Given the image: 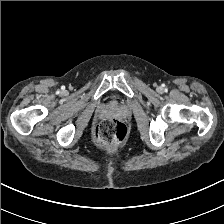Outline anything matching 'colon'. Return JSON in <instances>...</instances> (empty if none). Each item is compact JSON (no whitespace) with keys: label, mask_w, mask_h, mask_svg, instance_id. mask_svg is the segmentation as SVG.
Instances as JSON below:
<instances>
[{"label":"colon","mask_w":224,"mask_h":224,"mask_svg":"<svg viewBox=\"0 0 224 224\" xmlns=\"http://www.w3.org/2000/svg\"><path fill=\"white\" fill-rule=\"evenodd\" d=\"M128 135L126 125L117 119H107L100 123L93 134L95 143L100 147H112L123 143Z\"/></svg>","instance_id":"colon-1"}]
</instances>
